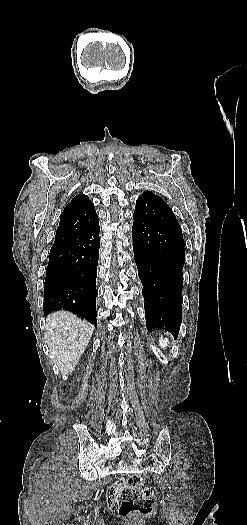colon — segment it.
<instances>
[{
    "label": "colon",
    "mask_w": 247,
    "mask_h": 525,
    "mask_svg": "<svg viewBox=\"0 0 247 525\" xmlns=\"http://www.w3.org/2000/svg\"><path fill=\"white\" fill-rule=\"evenodd\" d=\"M156 490L138 475L126 479V488L120 489V514L127 518L148 516L153 512Z\"/></svg>",
    "instance_id": "obj_1"
}]
</instances>
